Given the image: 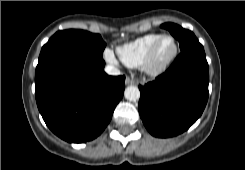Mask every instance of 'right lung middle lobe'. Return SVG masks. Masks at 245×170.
<instances>
[{
	"mask_svg": "<svg viewBox=\"0 0 245 170\" xmlns=\"http://www.w3.org/2000/svg\"><path fill=\"white\" fill-rule=\"evenodd\" d=\"M106 43L99 34L84 30H64L55 33L42 47L36 73L53 60L69 54L102 58Z\"/></svg>",
	"mask_w": 245,
	"mask_h": 170,
	"instance_id": "right-lung-middle-lobe-1",
	"label": "right lung middle lobe"
}]
</instances>
